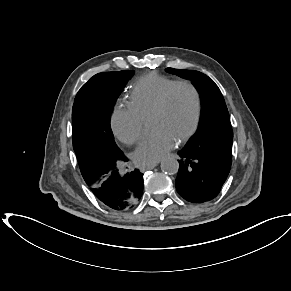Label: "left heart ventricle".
I'll return each instance as SVG.
<instances>
[{
    "mask_svg": "<svg viewBox=\"0 0 291 291\" xmlns=\"http://www.w3.org/2000/svg\"><path fill=\"white\" fill-rule=\"evenodd\" d=\"M194 112L192 93L187 88L180 87L172 95L168 112L162 116L152 117L150 124L154 132H168L177 139L191 126Z\"/></svg>",
    "mask_w": 291,
    "mask_h": 291,
    "instance_id": "1",
    "label": "left heart ventricle"
}]
</instances>
